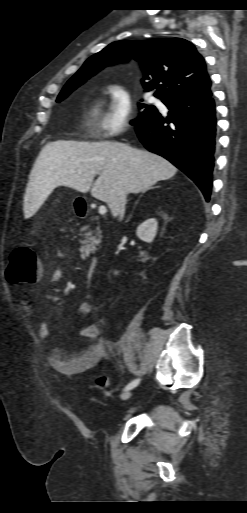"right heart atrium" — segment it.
<instances>
[{"instance_id": "right-heart-atrium-1", "label": "right heart atrium", "mask_w": 247, "mask_h": 513, "mask_svg": "<svg viewBox=\"0 0 247 513\" xmlns=\"http://www.w3.org/2000/svg\"><path fill=\"white\" fill-rule=\"evenodd\" d=\"M109 103L100 120V133L105 138L121 135L129 125L133 113V99L121 84L109 87Z\"/></svg>"}]
</instances>
